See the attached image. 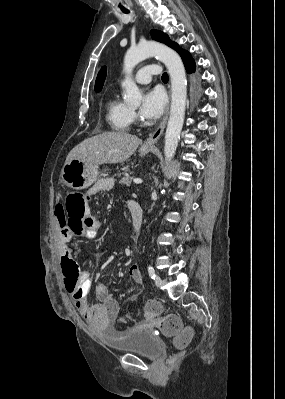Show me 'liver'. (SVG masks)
I'll list each match as a JSON object with an SVG mask.
<instances>
[{"label": "liver", "instance_id": "6515ba94", "mask_svg": "<svg viewBox=\"0 0 285 399\" xmlns=\"http://www.w3.org/2000/svg\"><path fill=\"white\" fill-rule=\"evenodd\" d=\"M141 140L124 131H109L85 139L67 155L66 162L78 159L82 162L101 165L122 163L136 151Z\"/></svg>", "mask_w": 285, "mask_h": 399}]
</instances>
